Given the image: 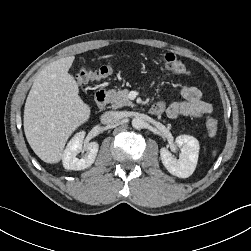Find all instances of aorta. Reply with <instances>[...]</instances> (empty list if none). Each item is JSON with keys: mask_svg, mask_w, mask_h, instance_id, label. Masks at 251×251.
<instances>
[{"mask_svg": "<svg viewBox=\"0 0 251 251\" xmlns=\"http://www.w3.org/2000/svg\"><path fill=\"white\" fill-rule=\"evenodd\" d=\"M144 120L141 117H134L132 119V126L135 129H142L144 127Z\"/></svg>", "mask_w": 251, "mask_h": 251, "instance_id": "obj_1", "label": "aorta"}]
</instances>
